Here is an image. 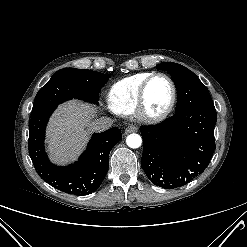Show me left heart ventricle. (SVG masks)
Listing matches in <instances>:
<instances>
[{"label": "left heart ventricle", "instance_id": "1", "mask_svg": "<svg viewBox=\"0 0 247 247\" xmlns=\"http://www.w3.org/2000/svg\"><path fill=\"white\" fill-rule=\"evenodd\" d=\"M172 97V89L167 79L157 77L151 81L146 93L147 111L153 114L167 108Z\"/></svg>", "mask_w": 247, "mask_h": 247}]
</instances>
